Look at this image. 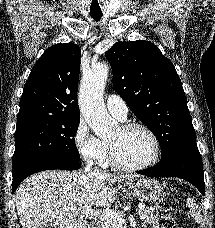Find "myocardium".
<instances>
[{"label":"myocardium","mask_w":215,"mask_h":228,"mask_svg":"<svg viewBox=\"0 0 215 228\" xmlns=\"http://www.w3.org/2000/svg\"><path fill=\"white\" fill-rule=\"evenodd\" d=\"M121 128L123 130H130L133 128H140L144 130L148 134L149 138L151 139L152 152H151V155L148 157V159L141 164L133 165V166L125 165L118 160L113 145L110 142H108L110 162L114 167L125 172H136V171L143 170L149 167L150 165H152L154 162H156V160L160 155V142L156 133L153 131L151 127H149L148 125L142 122L129 121L122 124Z\"/></svg>","instance_id":"1"}]
</instances>
